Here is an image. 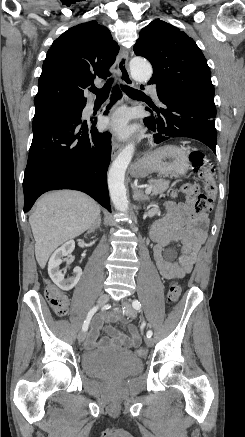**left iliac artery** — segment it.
I'll list each match as a JSON object with an SVG mask.
<instances>
[{"instance_id":"obj_1","label":"left iliac artery","mask_w":245,"mask_h":437,"mask_svg":"<svg viewBox=\"0 0 245 437\" xmlns=\"http://www.w3.org/2000/svg\"><path fill=\"white\" fill-rule=\"evenodd\" d=\"M132 305H133V308H134L135 310L140 311V309H141V303H140L138 300H134L133 303H132ZM152 334H153V333H152L151 330H148V331H147V337H151Z\"/></svg>"}]
</instances>
